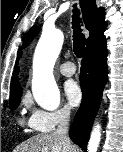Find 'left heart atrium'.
I'll return each mask as SVG.
<instances>
[{"label": "left heart atrium", "instance_id": "39dd6f15", "mask_svg": "<svg viewBox=\"0 0 123 152\" xmlns=\"http://www.w3.org/2000/svg\"><path fill=\"white\" fill-rule=\"evenodd\" d=\"M64 95L71 106H77L82 99V91L78 83L74 80H68L64 84Z\"/></svg>", "mask_w": 123, "mask_h": 152}]
</instances>
